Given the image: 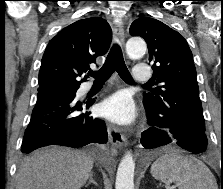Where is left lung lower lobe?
Returning <instances> with one entry per match:
<instances>
[{
  "label": "left lung lower lobe",
  "instance_id": "1",
  "mask_svg": "<svg viewBox=\"0 0 223 189\" xmlns=\"http://www.w3.org/2000/svg\"><path fill=\"white\" fill-rule=\"evenodd\" d=\"M150 128L142 132L141 144L146 149H153L169 143H176L181 148L195 154L203 153L207 149L205 132L185 128L168 127L163 117L146 108Z\"/></svg>",
  "mask_w": 223,
  "mask_h": 189
}]
</instances>
